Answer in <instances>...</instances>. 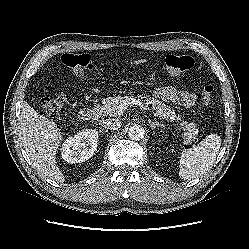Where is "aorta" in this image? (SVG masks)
Here are the masks:
<instances>
[{"mask_svg": "<svg viewBox=\"0 0 249 249\" xmlns=\"http://www.w3.org/2000/svg\"><path fill=\"white\" fill-rule=\"evenodd\" d=\"M145 131L141 125H133L128 130V136L131 140L140 141L144 138Z\"/></svg>", "mask_w": 249, "mask_h": 249, "instance_id": "1", "label": "aorta"}]
</instances>
